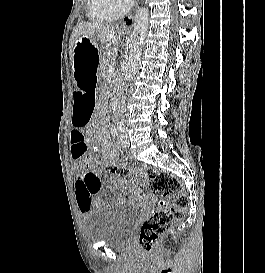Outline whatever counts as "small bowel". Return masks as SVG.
<instances>
[{
    "label": "small bowel",
    "instance_id": "c3829d8e",
    "mask_svg": "<svg viewBox=\"0 0 265 273\" xmlns=\"http://www.w3.org/2000/svg\"><path fill=\"white\" fill-rule=\"evenodd\" d=\"M94 95V91L75 92L73 96L74 104L71 105L73 110L71 124L72 128H74L70 135L71 156L77 170L76 201L82 213L92 207H99L104 202L99 195L102 187L104 164H93L94 158L89 153V143L86 140V136L92 134L95 128L93 123H88L90 120L89 115L94 107V104L90 102H96V97L88 96ZM102 151L107 159L112 157L106 146L102 147ZM118 182L125 187L129 184L126 178H120ZM117 201L121 202L123 198L118 197Z\"/></svg>",
    "mask_w": 265,
    "mask_h": 273
}]
</instances>
